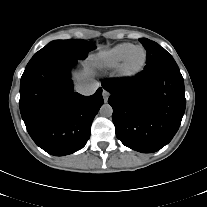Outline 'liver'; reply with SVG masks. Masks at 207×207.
I'll list each match as a JSON object with an SVG mask.
<instances>
[{
	"instance_id": "obj_1",
	"label": "liver",
	"mask_w": 207,
	"mask_h": 207,
	"mask_svg": "<svg viewBox=\"0 0 207 207\" xmlns=\"http://www.w3.org/2000/svg\"><path fill=\"white\" fill-rule=\"evenodd\" d=\"M81 79V77L80 76H77V80L79 81Z\"/></svg>"
}]
</instances>
